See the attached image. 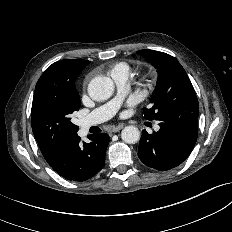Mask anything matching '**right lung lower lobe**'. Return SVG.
Wrapping results in <instances>:
<instances>
[{
	"mask_svg": "<svg viewBox=\"0 0 232 232\" xmlns=\"http://www.w3.org/2000/svg\"><path fill=\"white\" fill-rule=\"evenodd\" d=\"M89 139V143H81L77 134L69 138L49 165L67 180L85 181L93 177L105 164L110 138L106 133H99L90 135Z\"/></svg>",
	"mask_w": 232,
	"mask_h": 232,
	"instance_id": "98d812e1",
	"label": "right lung lower lobe"
}]
</instances>
